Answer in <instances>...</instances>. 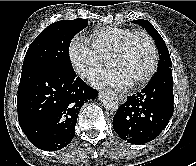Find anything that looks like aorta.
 <instances>
[{
    "mask_svg": "<svg viewBox=\"0 0 196 166\" xmlns=\"http://www.w3.org/2000/svg\"><path fill=\"white\" fill-rule=\"evenodd\" d=\"M101 102L105 106L106 109L110 111H116L119 107V100L117 95L110 90L104 91L100 95Z\"/></svg>",
    "mask_w": 196,
    "mask_h": 166,
    "instance_id": "762f6f07",
    "label": "aorta"
}]
</instances>
